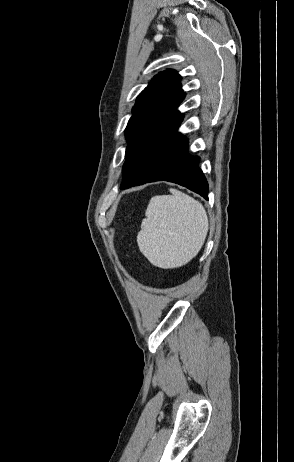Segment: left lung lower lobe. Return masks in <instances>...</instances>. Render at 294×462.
Listing matches in <instances>:
<instances>
[{
	"label": "left lung lower lobe",
	"mask_w": 294,
	"mask_h": 462,
	"mask_svg": "<svg viewBox=\"0 0 294 462\" xmlns=\"http://www.w3.org/2000/svg\"><path fill=\"white\" fill-rule=\"evenodd\" d=\"M184 96L169 106H156L126 155L120 188L153 181L174 182L208 200V183L198 167L200 158L188 154V140L177 129L183 116L174 111Z\"/></svg>",
	"instance_id": "1"
}]
</instances>
